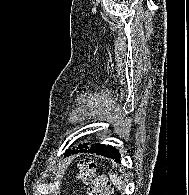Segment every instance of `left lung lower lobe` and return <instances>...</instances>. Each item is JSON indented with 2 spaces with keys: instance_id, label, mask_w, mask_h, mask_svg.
<instances>
[{
  "instance_id": "left-lung-lower-lobe-1",
  "label": "left lung lower lobe",
  "mask_w": 189,
  "mask_h": 195,
  "mask_svg": "<svg viewBox=\"0 0 189 195\" xmlns=\"http://www.w3.org/2000/svg\"><path fill=\"white\" fill-rule=\"evenodd\" d=\"M79 150H67L65 152V156H69L71 154H77L79 152H85V153H95L98 155H103L105 157H109L112 159H115V161L120 162V154L119 151L116 150L114 147L108 145H101V144H93L89 149L86 148V144L79 145Z\"/></svg>"
}]
</instances>
